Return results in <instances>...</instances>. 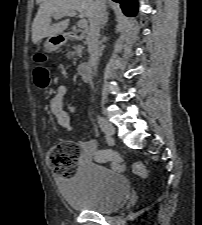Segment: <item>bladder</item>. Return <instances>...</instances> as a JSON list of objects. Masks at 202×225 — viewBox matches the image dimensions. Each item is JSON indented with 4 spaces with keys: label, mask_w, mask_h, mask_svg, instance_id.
Wrapping results in <instances>:
<instances>
[{
    "label": "bladder",
    "mask_w": 202,
    "mask_h": 225,
    "mask_svg": "<svg viewBox=\"0 0 202 225\" xmlns=\"http://www.w3.org/2000/svg\"><path fill=\"white\" fill-rule=\"evenodd\" d=\"M62 195L74 210L111 214L121 210L129 197V181L120 173L92 162L81 164L60 182Z\"/></svg>",
    "instance_id": "31cf9c89"
}]
</instances>
